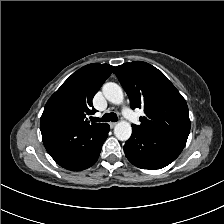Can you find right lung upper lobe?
Here are the masks:
<instances>
[{"label":"right lung upper lobe","instance_id":"1","mask_svg":"<svg viewBox=\"0 0 224 224\" xmlns=\"http://www.w3.org/2000/svg\"><path fill=\"white\" fill-rule=\"evenodd\" d=\"M113 69L108 64L92 63L77 70L49 98L41 121L56 115L60 122L71 126L89 128L101 125L90 123L86 115L96 112L92 99Z\"/></svg>","mask_w":224,"mask_h":224}]
</instances>
